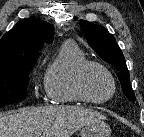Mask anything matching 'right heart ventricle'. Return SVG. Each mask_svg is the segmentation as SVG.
Segmentation results:
<instances>
[{"label": "right heart ventricle", "instance_id": "right-heart-ventricle-1", "mask_svg": "<svg viewBox=\"0 0 144 137\" xmlns=\"http://www.w3.org/2000/svg\"><path fill=\"white\" fill-rule=\"evenodd\" d=\"M87 59L73 41L64 42L48 63L44 73V88L50 101L56 104H76L82 100L74 89L77 69Z\"/></svg>", "mask_w": 144, "mask_h": 137}]
</instances>
